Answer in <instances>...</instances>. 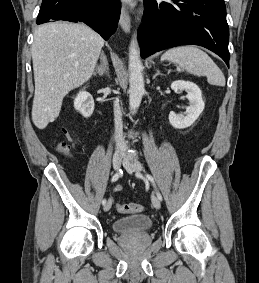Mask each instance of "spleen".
I'll return each mask as SVG.
<instances>
[{"label":"spleen","instance_id":"obj_1","mask_svg":"<svg viewBox=\"0 0 259 283\" xmlns=\"http://www.w3.org/2000/svg\"><path fill=\"white\" fill-rule=\"evenodd\" d=\"M170 61L188 73L204 75L208 82L225 86V77L214 61L201 49L195 46H181L167 50L161 61Z\"/></svg>","mask_w":259,"mask_h":283}]
</instances>
